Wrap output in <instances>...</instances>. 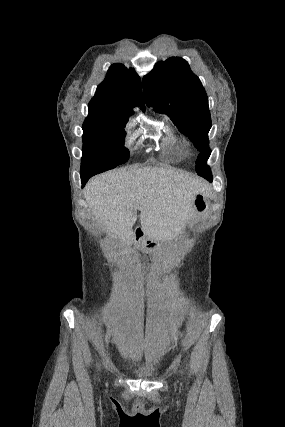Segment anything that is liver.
<instances>
[{"mask_svg":"<svg viewBox=\"0 0 285 427\" xmlns=\"http://www.w3.org/2000/svg\"><path fill=\"white\" fill-rule=\"evenodd\" d=\"M209 186L186 172L156 166L120 169L93 177L84 197L95 219L123 245L133 240L132 226L140 210L142 229L155 238L171 239L194 214V198Z\"/></svg>","mask_w":285,"mask_h":427,"instance_id":"obj_1","label":"liver"}]
</instances>
